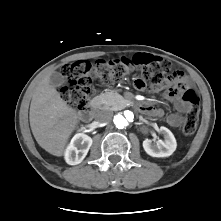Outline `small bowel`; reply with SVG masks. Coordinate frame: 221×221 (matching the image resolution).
Instances as JSON below:
<instances>
[{"label":"small bowel","mask_w":221,"mask_h":221,"mask_svg":"<svg viewBox=\"0 0 221 221\" xmlns=\"http://www.w3.org/2000/svg\"><path fill=\"white\" fill-rule=\"evenodd\" d=\"M180 84L183 87H188L190 82L186 75L181 71H175L169 80L167 81V88L163 93L165 99L171 101L174 104L175 109L178 113L170 114L167 117V122L173 127H180L183 122V114L189 111V104L184 101L181 97V91L176 88V86ZM160 87H156L155 91H160ZM145 112L154 116L160 117L163 114V111L159 108L154 107H145Z\"/></svg>","instance_id":"1"}]
</instances>
